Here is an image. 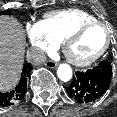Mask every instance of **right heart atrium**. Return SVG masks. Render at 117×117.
I'll return each mask as SVG.
<instances>
[{
  "mask_svg": "<svg viewBox=\"0 0 117 117\" xmlns=\"http://www.w3.org/2000/svg\"><path fill=\"white\" fill-rule=\"evenodd\" d=\"M25 37L31 49L33 57L39 59L44 52H50L57 47V42L51 37L41 21L34 24H27Z\"/></svg>",
  "mask_w": 117,
  "mask_h": 117,
  "instance_id": "right-heart-atrium-1",
  "label": "right heart atrium"
}]
</instances>
